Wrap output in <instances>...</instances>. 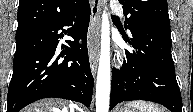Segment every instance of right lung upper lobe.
Instances as JSON below:
<instances>
[{
	"instance_id": "1",
	"label": "right lung upper lobe",
	"mask_w": 193,
	"mask_h": 112,
	"mask_svg": "<svg viewBox=\"0 0 193 112\" xmlns=\"http://www.w3.org/2000/svg\"><path fill=\"white\" fill-rule=\"evenodd\" d=\"M87 0H20L16 32L32 31L58 21Z\"/></svg>"
}]
</instances>
